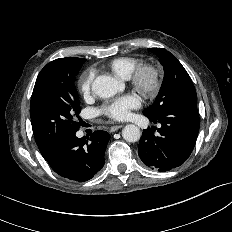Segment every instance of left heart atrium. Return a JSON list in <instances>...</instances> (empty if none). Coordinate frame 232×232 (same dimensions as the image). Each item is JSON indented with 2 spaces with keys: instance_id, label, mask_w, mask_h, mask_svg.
Wrapping results in <instances>:
<instances>
[{
  "instance_id": "left-heart-atrium-1",
  "label": "left heart atrium",
  "mask_w": 232,
  "mask_h": 232,
  "mask_svg": "<svg viewBox=\"0 0 232 232\" xmlns=\"http://www.w3.org/2000/svg\"><path fill=\"white\" fill-rule=\"evenodd\" d=\"M141 100L136 94H128L105 104L101 111L114 120H125L131 110L140 107Z\"/></svg>"
}]
</instances>
